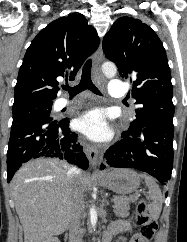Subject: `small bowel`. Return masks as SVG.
I'll list each match as a JSON object with an SVG mask.
<instances>
[{"label": "small bowel", "mask_w": 187, "mask_h": 242, "mask_svg": "<svg viewBox=\"0 0 187 242\" xmlns=\"http://www.w3.org/2000/svg\"><path fill=\"white\" fill-rule=\"evenodd\" d=\"M131 229V225L128 222L118 221L109 228L108 232L105 235L112 236L120 232H130ZM137 237L138 236L133 237L130 242H137Z\"/></svg>", "instance_id": "small-bowel-1"}]
</instances>
